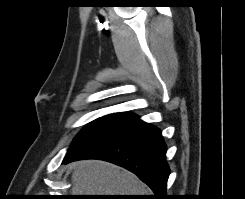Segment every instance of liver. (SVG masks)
<instances>
[{"label":"liver","mask_w":245,"mask_h":199,"mask_svg":"<svg viewBox=\"0 0 245 199\" xmlns=\"http://www.w3.org/2000/svg\"><path fill=\"white\" fill-rule=\"evenodd\" d=\"M73 195H150L134 174L114 164L83 160L71 165Z\"/></svg>","instance_id":"obj_1"}]
</instances>
